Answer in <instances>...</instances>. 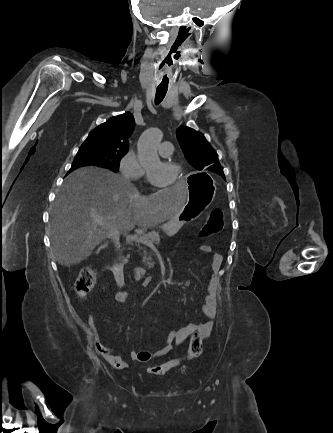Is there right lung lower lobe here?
Returning a JSON list of instances; mask_svg holds the SVG:
<instances>
[{
	"instance_id": "98d812e1",
	"label": "right lung lower lobe",
	"mask_w": 333,
	"mask_h": 433,
	"mask_svg": "<svg viewBox=\"0 0 333 433\" xmlns=\"http://www.w3.org/2000/svg\"><path fill=\"white\" fill-rule=\"evenodd\" d=\"M80 166H84V165H80ZM80 166H74V165H72V167H71V169L69 170L68 173H70L71 171H73L74 169H76V168H78V167H80Z\"/></svg>"
}]
</instances>
